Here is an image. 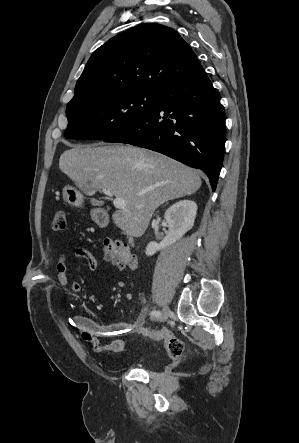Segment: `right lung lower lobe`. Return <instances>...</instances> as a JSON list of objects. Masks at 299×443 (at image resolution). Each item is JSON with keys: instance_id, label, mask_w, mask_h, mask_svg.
Here are the masks:
<instances>
[{"instance_id": "obj_1", "label": "right lung lower lobe", "mask_w": 299, "mask_h": 443, "mask_svg": "<svg viewBox=\"0 0 299 443\" xmlns=\"http://www.w3.org/2000/svg\"><path fill=\"white\" fill-rule=\"evenodd\" d=\"M154 107L105 142L127 143L203 170L217 185L225 144V117L204 70L158 92Z\"/></svg>"}]
</instances>
